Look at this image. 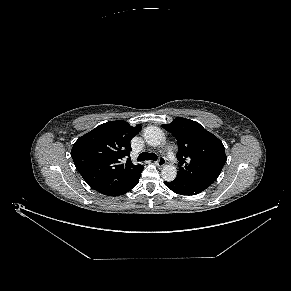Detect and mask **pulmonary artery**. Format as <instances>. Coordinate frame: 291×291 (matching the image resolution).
<instances>
[{
  "mask_svg": "<svg viewBox=\"0 0 291 291\" xmlns=\"http://www.w3.org/2000/svg\"><path fill=\"white\" fill-rule=\"evenodd\" d=\"M168 158L172 161V162H175V157L171 151V149H168Z\"/></svg>",
  "mask_w": 291,
  "mask_h": 291,
  "instance_id": "e3ab8cb5",
  "label": "pulmonary artery"
}]
</instances>
